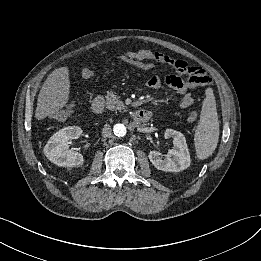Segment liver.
<instances>
[{
	"label": "liver",
	"instance_id": "6515ba94",
	"mask_svg": "<svg viewBox=\"0 0 261 261\" xmlns=\"http://www.w3.org/2000/svg\"><path fill=\"white\" fill-rule=\"evenodd\" d=\"M70 80L67 67L55 69L44 82L38 95L35 118L42 120L63 108L69 97Z\"/></svg>",
	"mask_w": 261,
	"mask_h": 261
}]
</instances>
